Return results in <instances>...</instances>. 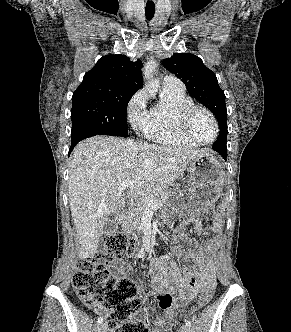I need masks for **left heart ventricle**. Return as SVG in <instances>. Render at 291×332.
Returning <instances> with one entry per match:
<instances>
[{
	"label": "left heart ventricle",
	"instance_id": "left-heart-ventricle-1",
	"mask_svg": "<svg viewBox=\"0 0 291 332\" xmlns=\"http://www.w3.org/2000/svg\"><path fill=\"white\" fill-rule=\"evenodd\" d=\"M190 131L200 141H210L215 134V129L210 117L202 111L193 114L190 120Z\"/></svg>",
	"mask_w": 291,
	"mask_h": 332
}]
</instances>
